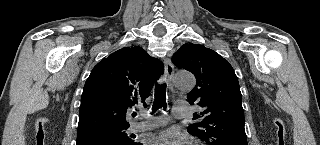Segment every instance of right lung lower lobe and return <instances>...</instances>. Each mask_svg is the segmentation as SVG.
I'll list each match as a JSON object with an SVG mask.
<instances>
[{"label":"right lung lower lobe","mask_w":320,"mask_h":145,"mask_svg":"<svg viewBox=\"0 0 320 145\" xmlns=\"http://www.w3.org/2000/svg\"><path fill=\"white\" fill-rule=\"evenodd\" d=\"M77 145H125V144L107 136L88 133V134L78 135ZM135 145H142V144L135 143Z\"/></svg>","instance_id":"98d812e1"}]
</instances>
